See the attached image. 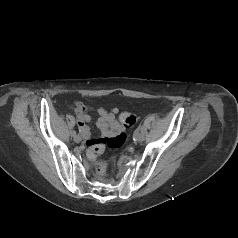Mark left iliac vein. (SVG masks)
Instances as JSON below:
<instances>
[{
    "label": "left iliac vein",
    "mask_w": 238,
    "mask_h": 238,
    "mask_svg": "<svg viewBox=\"0 0 238 238\" xmlns=\"http://www.w3.org/2000/svg\"><path fill=\"white\" fill-rule=\"evenodd\" d=\"M143 140H144V135L141 132L137 133L136 141L142 142Z\"/></svg>",
    "instance_id": "1"
}]
</instances>
